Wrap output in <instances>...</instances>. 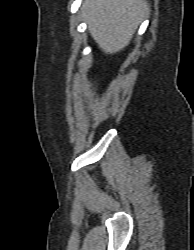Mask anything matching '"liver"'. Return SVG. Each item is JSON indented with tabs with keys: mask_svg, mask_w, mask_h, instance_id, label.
Returning <instances> with one entry per match:
<instances>
[{
	"mask_svg": "<svg viewBox=\"0 0 194 250\" xmlns=\"http://www.w3.org/2000/svg\"><path fill=\"white\" fill-rule=\"evenodd\" d=\"M146 9L143 0H85L81 7L90 35L107 54L129 44Z\"/></svg>",
	"mask_w": 194,
	"mask_h": 250,
	"instance_id": "liver-1",
	"label": "liver"
}]
</instances>
